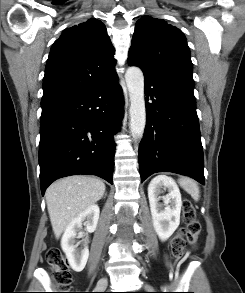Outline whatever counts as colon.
Listing matches in <instances>:
<instances>
[{"label":"colon","instance_id":"colon-1","mask_svg":"<svg viewBox=\"0 0 245 293\" xmlns=\"http://www.w3.org/2000/svg\"><path fill=\"white\" fill-rule=\"evenodd\" d=\"M182 213L186 227L179 229L171 241L173 254L177 257L183 256L186 242L192 245L197 242L201 232V225L196 219L195 210L190 201H183ZM46 259L56 284L64 287L69 286L72 283V274L61 250L57 248L48 250Z\"/></svg>","mask_w":245,"mask_h":293}]
</instances>
